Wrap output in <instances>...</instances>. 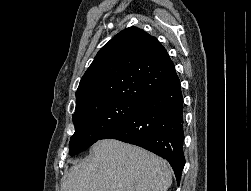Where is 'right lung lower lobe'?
<instances>
[{
	"mask_svg": "<svg viewBox=\"0 0 251 191\" xmlns=\"http://www.w3.org/2000/svg\"><path fill=\"white\" fill-rule=\"evenodd\" d=\"M183 96L178 79L144 100L127 119L101 139H117L138 145L166 159L177 183L185 165Z\"/></svg>",
	"mask_w": 251,
	"mask_h": 191,
	"instance_id": "1",
	"label": "right lung lower lobe"
}]
</instances>
